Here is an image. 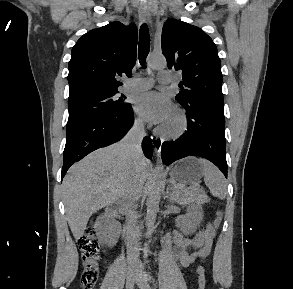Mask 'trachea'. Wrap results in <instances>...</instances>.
<instances>
[{"mask_svg": "<svg viewBox=\"0 0 293 289\" xmlns=\"http://www.w3.org/2000/svg\"><path fill=\"white\" fill-rule=\"evenodd\" d=\"M150 50V35L146 23L142 24L139 34V62L141 65L145 64L146 57Z\"/></svg>", "mask_w": 293, "mask_h": 289, "instance_id": "1", "label": "trachea"}]
</instances>
